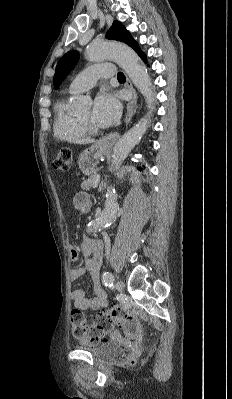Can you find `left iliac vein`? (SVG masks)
I'll return each mask as SVG.
<instances>
[{
	"mask_svg": "<svg viewBox=\"0 0 232 399\" xmlns=\"http://www.w3.org/2000/svg\"><path fill=\"white\" fill-rule=\"evenodd\" d=\"M114 285L115 289H118V291H122V289H124V284L122 281H115Z\"/></svg>",
	"mask_w": 232,
	"mask_h": 399,
	"instance_id": "4c4485c4",
	"label": "left iliac vein"
}]
</instances>
